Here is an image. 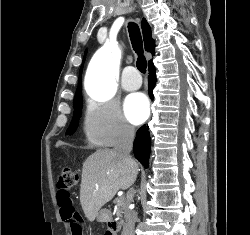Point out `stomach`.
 I'll return each instance as SVG.
<instances>
[{"instance_id":"obj_1","label":"stomach","mask_w":250,"mask_h":235,"mask_svg":"<svg viewBox=\"0 0 250 235\" xmlns=\"http://www.w3.org/2000/svg\"><path fill=\"white\" fill-rule=\"evenodd\" d=\"M97 220L99 222H106V221H108L109 220V213H108V211L105 210V209L100 210V212L97 215Z\"/></svg>"}]
</instances>
